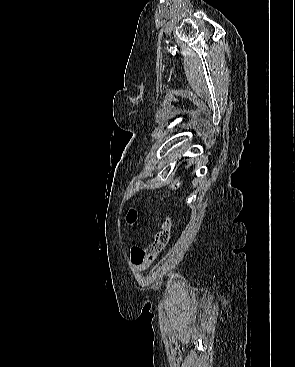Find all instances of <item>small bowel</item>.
<instances>
[{
  "instance_id": "obj_1",
  "label": "small bowel",
  "mask_w": 295,
  "mask_h": 367,
  "mask_svg": "<svg viewBox=\"0 0 295 367\" xmlns=\"http://www.w3.org/2000/svg\"><path fill=\"white\" fill-rule=\"evenodd\" d=\"M136 266L138 270L142 271V270H145L149 266V264H141V265H136Z\"/></svg>"
}]
</instances>
